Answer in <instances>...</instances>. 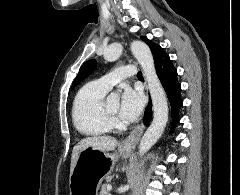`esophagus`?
Returning a JSON list of instances; mask_svg holds the SVG:
<instances>
[{"mask_svg": "<svg viewBox=\"0 0 240 195\" xmlns=\"http://www.w3.org/2000/svg\"><path fill=\"white\" fill-rule=\"evenodd\" d=\"M144 131V124L141 122L137 127L132 130L129 135L124 138L121 148H134L136 144L138 143L142 133Z\"/></svg>", "mask_w": 240, "mask_h": 195, "instance_id": "34e87169", "label": "esophagus"}]
</instances>
